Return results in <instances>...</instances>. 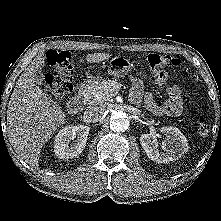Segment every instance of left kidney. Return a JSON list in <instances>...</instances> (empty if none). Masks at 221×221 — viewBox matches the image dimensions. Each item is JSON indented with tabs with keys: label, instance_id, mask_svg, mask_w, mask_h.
Instances as JSON below:
<instances>
[{
	"label": "left kidney",
	"instance_id": "obj_1",
	"mask_svg": "<svg viewBox=\"0 0 221 221\" xmlns=\"http://www.w3.org/2000/svg\"><path fill=\"white\" fill-rule=\"evenodd\" d=\"M160 131L166 135L162 142L163 152L159 151L157 139L154 135L142 134L140 137L141 146L151 160L157 163H167L188 152V141L178 128L166 126L162 127Z\"/></svg>",
	"mask_w": 221,
	"mask_h": 221
}]
</instances>
